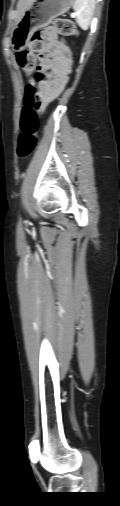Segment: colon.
Returning <instances> with one entry per match:
<instances>
[{
  "instance_id": "1",
  "label": "colon",
  "mask_w": 120,
  "mask_h": 506,
  "mask_svg": "<svg viewBox=\"0 0 120 506\" xmlns=\"http://www.w3.org/2000/svg\"><path fill=\"white\" fill-rule=\"evenodd\" d=\"M52 28L64 38H71L77 33L74 23L67 18H56ZM43 38L44 31H36L28 48L18 52L16 56L19 67L29 75L26 81V95L21 111L17 145V155L21 159L27 158L36 148L39 130L38 110L42 103L39 84L51 77L49 72L36 70V55L43 49Z\"/></svg>"
}]
</instances>
